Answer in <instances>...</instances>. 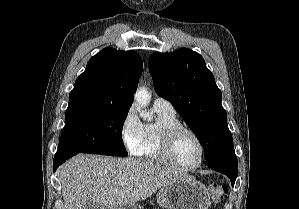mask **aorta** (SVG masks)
<instances>
[{"label": "aorta", "instance_id": "obj_1", "mask_svg": "<svg viewBox=\"0 0 299 209\" xmlns=\"http://www.w3.org/2000/svg\"><path fill=\"white\" fill-rule=\"evenodd\" d=\"M134 99L139 105H141L143 108H146V106H148V104L150 102L151 95L145 87H140L136 91V93L134 95ZM140 116L143 119L151 120V115L147 112L146 109L140 113Z\"/></svg>", "mask_w": 299, "mask_h": 209}]
</instances>
